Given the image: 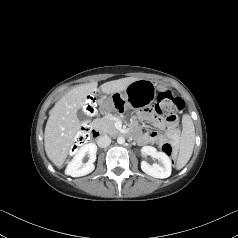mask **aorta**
<instances>
[{
	"instance_id": "762f6f07",
	"label": "aorta",
	"mask_w": 238,
	"mask_h": 238,
	"mask_svg": "<svg viewBox=\"0 0 238 238\" xmlns=\"http://www.w3.org/2000/svg\"><path fill=\"white\" fill-rule=\"evenodd\" d=\"M117 143H118V144H124V143H125V138L122 137V136L118 137V138H117Z\"/></svg>"
}]
</instances>
